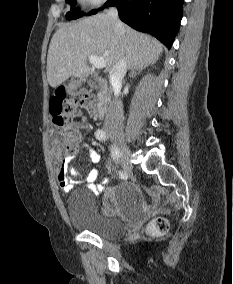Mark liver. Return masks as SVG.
<instances>
[{"mask_svg":"<svg viewBox=\"0 0 233 284\" xmlns=\"http://www.w3.org/2000/svg\"><path fill=\"white\" fill-rule=\"evenodd\" d=\"M121 24L124 34L113 18L101 13L60 27L48 49L50 86L56 88L70 77H87L90 74L87 60L91 55L102 57L109 73L121 58L127 61L129 69L138 71L154 64L163 52V45L149 35Z\"/></svg>","mask_w":233,"mask_h":284,"instance_id":"obj_1","label":"liver"}]
</instances>
